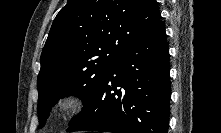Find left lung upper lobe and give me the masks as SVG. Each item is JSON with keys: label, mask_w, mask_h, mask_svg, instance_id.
<instances>
[{"label": "left lung upper lobe", "mask_w": 221, "mask_h": 133, "mask_svg": "<svg viewBox=\"0 0 221 133\" xmlns=\"http://www.w3.org/2000/svg\"><path fill=\"white\" fill-rule=\"evenodd\" d=\"M159 19L155 0H68L40 58L39 127L61 97L77 95L84 109L124 48Z\"/></svg>", "instance_id": "obj_1"}]
</instances>
